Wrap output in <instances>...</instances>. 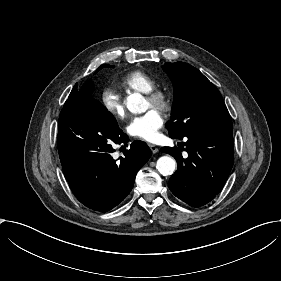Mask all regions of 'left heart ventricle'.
Returning a JSON list of instances; mask_svg holds the SVG:
<instances>
[{"label": "left heart ventricle", "instance_id": "obj_1", "mask_svg": "<svg viewBox=\"0 0 281 281\" xmlns=\"http://www.w3.org/2000/svg\"><path fill=\"white\" fill-rule=\"evenodd\" d=\"M149 107H150V105H149V103H148L147 100H146V107H145V110H147Z\"/></svg>", "mask_w": 281, "mask_h": 281}]
</instances>
